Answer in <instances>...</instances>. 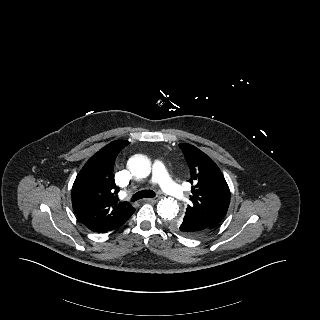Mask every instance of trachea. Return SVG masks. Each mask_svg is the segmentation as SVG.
<instances>
[{
    "mask_svg": "<svg viewBox=\"0 0 320 320\" xmlns=\"http://www.w3.org/2000/svg\"><path fill=\"white\" fill-rule=\"evenodd\" d=\"M155 197V192L152 191V190H142V191H139L137 193H135L131 200L132 201H137V200H140V199H143V198H153Z\"/></svg>",
    "mask_w": 320,
    "mask_h": 320,
    "instance_id": "3493384b",
    "label": "trachea"
}]
</instances>
